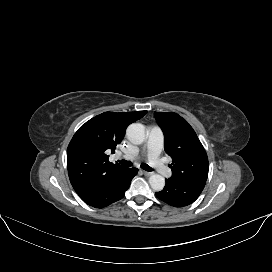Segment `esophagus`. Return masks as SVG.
Returning <instances> with one entry per match:
<instances>
[{
  "mask_svg": "<svg viewBox=\"0 0 272 272\" xmlns=\"http://www.w3.org/2000/svg\"><path fill=\"white\" fill-rule=\"evenodd\" d=\"M142 172H143V174H144L145 176H150V175H152L151 172H147V171H142Z\"/></svg>",
  "mask_w": 272,
  "mask_h": 272,
  "instance_id": "esophagus-1",
  "label": "esophagus"
}]
</instances>
